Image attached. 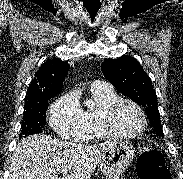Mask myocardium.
<instances>
[{
    "mask_svg": "<svg viewBox=\"0 0 183 179\" xmlns=\"http://www.w3.org/2000/svg\"><path fill=\"white\" fill-rule=\"evenodd\" d=\"M125 104L133 106L140 113L142 117L143 120L142 127L135 133L131 134L122 133L115 126V116L119 111V109ZM99 123L102 130L110 137L120 139H132L140 136L145 132L148 126V119L145 111L138 103H136L131 99L118 98L102 109L99 116Z\"/></svg>",
    "mask_w": 183,
    "mask_h": 179,
    "instance_id": "myocardium-1",
    "label": "myocardium"
}]
</instances>
